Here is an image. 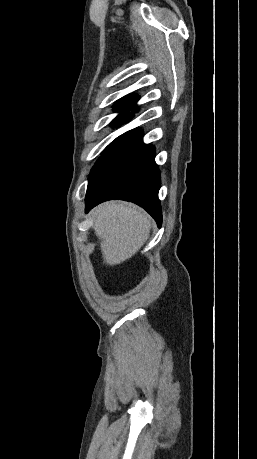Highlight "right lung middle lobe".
<instances>
[{"instance_id": "1", "label": "right lung middle lobe", "mask_w": 257, "mask_h": 459, "mask_svg": "<svg viewBox=\"0 0 257 459\" xmlns=\"http://www.w3.org/2000/svg\"><path fill=\"white\" fill-rule=\"evenodd\" d=\"M133 117L132 113L122 112L119 116H117L112 122L113 127H117L119 125L124 124L127 120Z\"/></svg>"}]
</instances>
